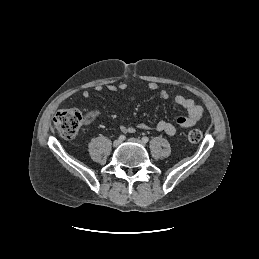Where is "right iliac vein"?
Segmentation results:
<instances>
[{"label":"right iliac vein","instance_id":"right-iliac-vein-1","mask_svg":"<svg viewBox=\"0 0 259 259\" xmlns=\"http://www.w3.org/2000/svg\"><path fill=\"white\" fill-rule=\"evenodd\" d=\"M121 144V141L118 139V140H115L114 142H113V146L114 147H118L119 145Z\"/></svg>","mask_w":259,"mask_h":259}]
</instances>
